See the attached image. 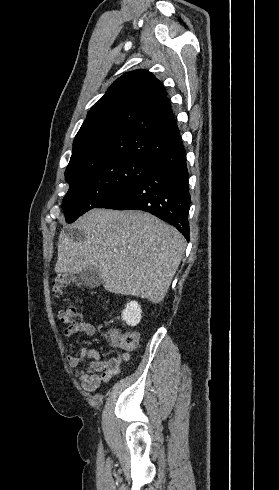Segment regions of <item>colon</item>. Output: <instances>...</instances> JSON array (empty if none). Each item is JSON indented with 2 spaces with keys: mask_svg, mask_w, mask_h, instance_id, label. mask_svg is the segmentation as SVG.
<instances>
[{
  "mask_svg": "<svg viewBox=\"0 0 279 490\" xmlns=\"http://www.w3.org/2000/svg\"><path fill=\"white\" fill-rule=\"evenodd\" d=\"M75 280L76 278L73 274L61 272L50 283V289L55 296L59 297L62 295L63 288L74 283ZM56 316L62 323L69 326H73L80 321L79 312L74 306H66L59 309ZM104 336L114 342V349H119L123 353L134 350L138 342L137 333L129 332L121 334L120 329H105Z\"/></svg>",
  "mask_w": 279,
  "mask_h": 490,
  "instance_id": "obj_1",
  "label": "colon"
}]
</instances>
